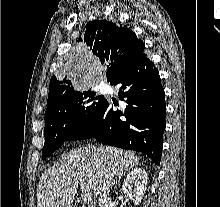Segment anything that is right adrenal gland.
I'll return each mask as SVG.
<instances>
[{"instance_id": "right-adrenal-gland-1", "label": "right adrenal gland", "mask_w": 220, "mask_h": 207, "mask_svg": "<svg viewBox=\"0 0 220 207\" xmlns=\"http://www.w3.org/2000/svg\"><path fill=\"white\" fill-rule=\"evenodd\" d=\"M120 179H121V178H118V183L120 182ZM114 184H117V182H114Z\"/></svg>"}]
</instances>
